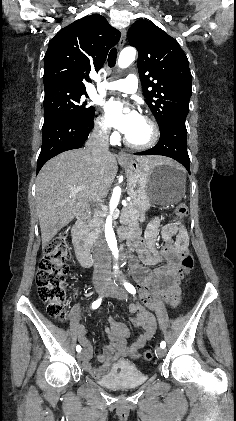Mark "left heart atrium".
Returning a JSON list of instances; mask_svg holds the SVG:
<instances>
[{"mask_svg": "<svg viewBox=\"0 0 236 421\" xmlns=\"http://www.w3.org/2000/svg\"><path fill=\"white\" fill-rule=\"evenodd\" d=\"M123 104L116 100H110L106 104V110L109 114L111 123L122 133L129 134L141 116L136 111H131L127 114L122 112Z\"/></svg>", "mask_w": 236, "mask_h": 421, "instance_id": "left-heart-atrium-1", "label": "left heart atrium"}]
</instances>
